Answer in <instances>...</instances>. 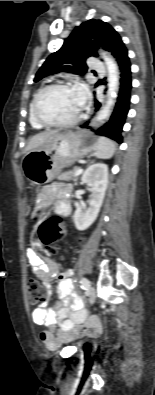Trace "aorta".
Segmentation results:
<instances>
[{"label": "aorta", "mask_w": 155, "mask_h": 395, "mask_svg": "<svg viewBox=\"0 0 155 395\" xmlns=\"http://www.w3.org/2000/svg\"><path fill=\"white\" fill-rule=\"evenodd\" d=\"M103 59L108 72V91L106 104L99 110L96 117L98 123H102L110 117L119 89V71L116 62L105 53H103Z\"/></svg>", "instance_id": "aorta-1"}]
</instances>
